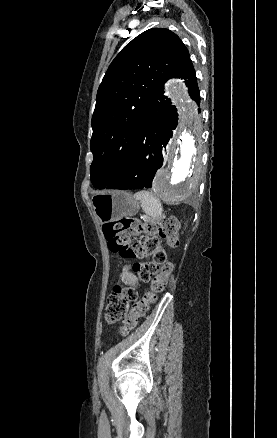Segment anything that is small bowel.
<instances>
[{"label": "small bowel", "instance_id": "1", "mask_svg": "<svg viewBox=\"0 0 277 438\" xmlns=\"http://www.w3.org/2000/svg\"><path fill=\"white\" fill-rule=\"evenodd\" d=\"M121 281L127 285H135L137 283L136 276L130 271V266L125 265L121 273Z\"/></svg>", "mask_w": 277, "mask_h": 438}]
</instances>
